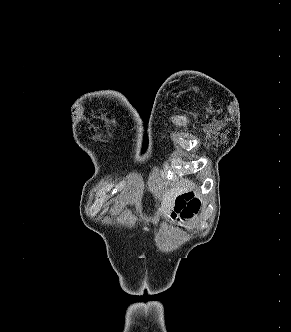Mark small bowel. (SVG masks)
<instances>
[{
  "instance_id": "obj_1",
  "label": "small bowel",
  "mask_w": 291,
  "mask_h": 332,
  "mask_svg": "<svg viewBox=\"0 0 291 332\" xmlns=\"http://www.w3.org/2000/svg\"><path fill=\"white\" fill-rule=\"evenodd\" d=\"M186 195H188L191 198H194V200H198L197 198H195V195L193 194V192H186ZM197 211H191L186 217L184 218H189L191 216H193L194 213H196Z\"/></svg>"
}]
</instances>
